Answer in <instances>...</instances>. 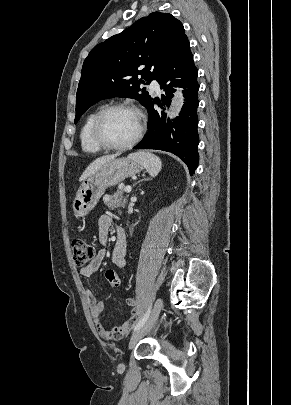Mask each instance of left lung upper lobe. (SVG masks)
<instances>
[{
	"label": "left lung upper lobe",
	"mask_w": 291,
	"mask_h": 405,
	"mask_svg": "<svg viewBox=\"0 0 291 405\" xmlns=\"http://www.w3.org/2000/svg\"><path fill=\"white\" fill-rule=\"evenodd\" d=\"M186 37L179 20L169 13L153 12L96 45L82 67L75 123L102 99L129 97L147 107L152 98L140 84L157 78Z\"/></svg>",
	"instance_id": "obj_1"
}]
</instances>
